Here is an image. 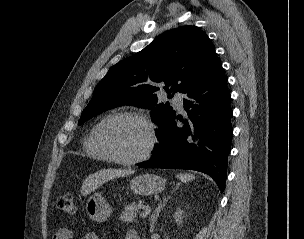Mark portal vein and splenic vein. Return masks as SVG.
Instances as JSON below:
<instances>
[{
  "mask_svg": "<svg viewBox=\"0 0 304 239\" xmlns=\"http://www.w3.org/2000/svg\"><path fill=\"white\" fill-rule=\"evenodd\" d=\"M150 212V209L149 208H146L141 214V218H145Z\"/></svg>",
  "mask_w": 304,
  "mask_h": 239,
  "instance_id": "1",
  "label": "portal vein and splenic vein"
}]
</instances>
